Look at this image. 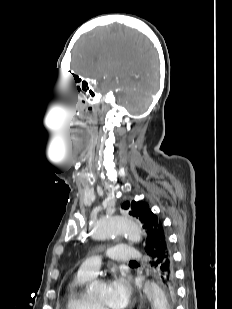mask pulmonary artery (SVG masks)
Instances as JSON below:
<instances>
[{"instance_id":"1","label":"pulmonary artery","mask_w":232,"mask_h":309,"mask_svg":"<svg viewBox=\"0 0 232 309\" xmlns=\"http://www.w3.org/2000/svg\"><path fill=\"white\" fill-rule=\"evenodd\" d=\"M109 259L127 263L130 260H135L141 257V254L132 247L126 245H117L109 248L106 252ZM101 265V254L96 252L91 257L87 258L79 267L78 273L87 277H94Z\"/></svg>"}]
</instances>
